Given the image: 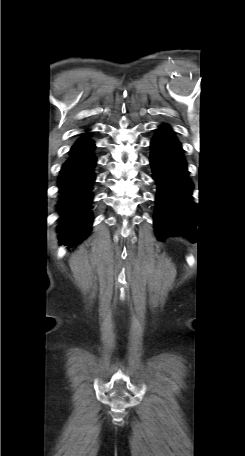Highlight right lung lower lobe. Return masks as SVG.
<instances>
[{"label": "right lung lower lobe", "instance_id": "98d812e1", "mask_svg": "<svg viewBox=\"0 0 245 456\" xmlns=\"http://www.w3.org/2000/svg\"><path fill=\"white\" fill-rule=\"evenodd\" d=\"M95 143L86 138L78 140L69 152V159L60 171L58 186L62 199L60 210L59 240L70 247L78 244L91 230V188L95 180L93 154Z\"/></svg>", "mask_w": 245, "mask_h": 456}]
</instances>
